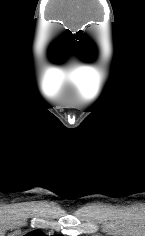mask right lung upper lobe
I'll return each instance as SVG.
<instances>
[{
  "label": "right lung upper lobe",
  "mask_w": 145,
  "mask_h": 236,
  "mask_svg": "<svg viewBox=\"0 0 145 236\" xmlns=\"http://www.w3.org/2000/svg\"><path fill=\"white\" fill-rule=\"evenodd\" d=\"M25 236H46V235L40 231H33V232L28 233Z\"/></svg>",
  "instance_id": "cb5924a9"
}]
</instances>
